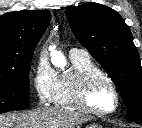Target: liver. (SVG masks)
Returning <instances> with one entry per match:
<instances>
[{"label":"liver","instance_id":"6515ba94","mask_svg":"<svg viewBox=\"0 0 142 128\" xmlns=\"http://www.w3.org/2000/svg\"><path fill=\"white\" fill-rule=\"evenodd\" d=\"M86 119L70 109L48 107L0 115V128H75Z\"/></svg>","mask_w":142,"mask_h":128}]
</instances>
